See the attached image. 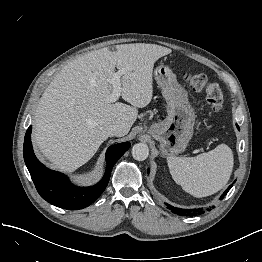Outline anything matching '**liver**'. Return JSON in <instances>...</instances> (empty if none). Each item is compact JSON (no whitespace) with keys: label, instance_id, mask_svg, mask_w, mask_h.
<instances>
[{"label":"liver","instance_id":"6515ba94","mask_svg":"<svg viewBox=\"0 0 262 262\" xmlns=\"http://www.w3.org/2000/svg\"><path fill=\"white\" fill-rule=\"evenodd\" d=\"M171 49L145 43L102 48L65 65L45 89L37 107L33 142L51 165L73 172L88 162L109 137L105 127L130 131L138 109L153 95V67ZM115 67L123 70L121 96L130 105L109 102Z\"/></svg>","mask_w":262,"mask_h":262}]
</instances>
